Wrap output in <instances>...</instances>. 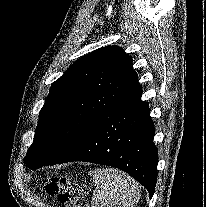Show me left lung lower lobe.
I'll list each match as a JSON object with an SVG mask.
<instances>
[{
  "mask_svg": "<svg viewBox=\"0 0 206 207\" xmlns=\"http://www.w3.org/2000/svg\"><path fill=\"white\" fill-rule=\"evenodd\" d=\"M141 95L142 87L136 80L104 112L83 144L53 164L86 161L119 168L140 182L151 198L157 181L158 151L149 106Z\"/></svg>",
  "mask_w": 206,
  "mask_h": 207,
  "instance_id": "1",
  "label": "left lung lower lobe"
}]
</instances>
